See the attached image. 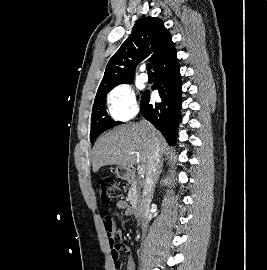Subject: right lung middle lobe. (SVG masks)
<instances>
[{
	"instance_id": "right-lung-middle-lobe-1",
	"label": "right lung middle lobe",
	"mask_w": 267,
	"mask_h": 270,
	"mask_svg": "<svg viewBox=\"0 0 267 270\" xmlns=\"http://www.w3.org/2000/svg\"><path fill=\"white\" fill-rule=\"evenodd\" d=\"M132 82L133 81L127 83L131 84ZM112 88L113 87L102 90L96 94L91 116V143L94 142L100 133L119 124V122H115L108 116L105 109L106 95Z\"/></svg>"
}]
</instances>
